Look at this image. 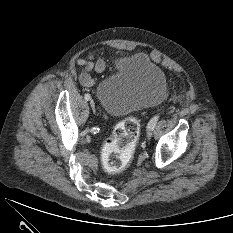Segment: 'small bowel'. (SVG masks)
<instances>
[{
  "instance_id": "obj_1",
  "label": "small bowel",
  "mask_w": 233,
  "mask_h": 233,
  "mask_svg": "<svg viewBox=\"0 0 233 233\" xmlns=\"http://www.w3.org/2000/svg\"><path fill=\"white\" fill-rule=\"evenodd\" d=\"M77 64L80 67V82L84 86H91L94 83V79L90 72L95 71L97 73H102L106 68L104 60H94L93 55H90L87 59H77Z\"/></svg>"
}]
</instances>
